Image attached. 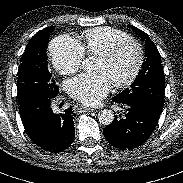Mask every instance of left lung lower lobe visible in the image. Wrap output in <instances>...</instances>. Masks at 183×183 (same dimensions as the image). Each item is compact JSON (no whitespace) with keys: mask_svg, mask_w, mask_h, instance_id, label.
<instances>
[{"mask_svg":"<svg viewBox=\"0 0 183 183\" xmlns=\"http://www.w3.org/2000/svg\"><path fill=\"white\" fill-rule=\"evenodd\" d=\"M112 100L125 106L127 112L104 129L106 140L121 150L139 147L155 130L161 113L138 102Z\"/></svg>","mask_w":183,"mask_h":183,"instance_id":"1","label":"left lung lower lobe"}]
</instances>
